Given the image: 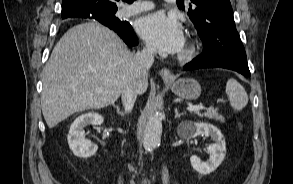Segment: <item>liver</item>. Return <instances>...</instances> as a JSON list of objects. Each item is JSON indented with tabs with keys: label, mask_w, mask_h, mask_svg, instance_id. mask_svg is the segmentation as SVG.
Masks as SVG:
<instances>
[{
	"label": "liver",
	"mask_w": 293,
	"mask_h": 184,
	"mask_svg": "<svg viewBox=\"0 0 293 184\" xmlns=\"http://www.w3.org/2000/svg\"><path fill=\"white\" fill-rule=\"evenodd\" d=\"M133 58L119 36L100 23L70 28L43 69L41 108L48 127L76 112L113 104L134 77ZM147 87L148 75L139 94Z\"/></svg>",
	"instance_id": "obj_1"
}]
</instances>
